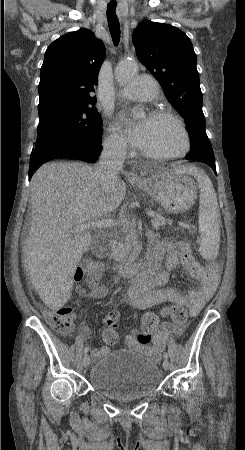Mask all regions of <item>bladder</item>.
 Here are the masks:
<instances>
[{
	"mask_svg": "<svg viewBox=\"0 0 245 450\" xmlns=\"http://www.w3.org/2000/svg\"><path fill=\"white\" fill-rule=\"evenodd\" d=\"M159 366L149 357L129 349L114 350L94 361L89 385L104 397L129 401L147 397L160 385Z\"/></svg>",
	"mask_w": 245,
	"mask_h": 450,
	"instance_id": "bladder-1",
	"label": "bladder"
}]
</instances>
